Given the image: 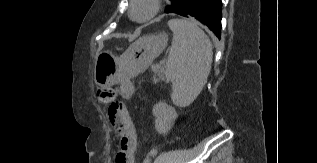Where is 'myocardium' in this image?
I'll return each mask as SVG.
<instances>
[{
    "instance_id": "f54148a6",
    "label": "myocardium",
    "mask_w": 317,
    "mask_h": 163,
    "mask_svg": "<svg viewBox=\"0 0 317 163\" xmlns=\"http://www.w3.org/2000/svg\"><path fill=\"white\" fill-rule=\"evenodd\" d=\"M138 0H131L130 2V8H129V16L132 20L138 22V23H145L153 19L160 10V0H147V2L150 5V11L149 13L142 17V18H136L134 16V9L137 4Z\"/></svg>"
}]
</instances>
